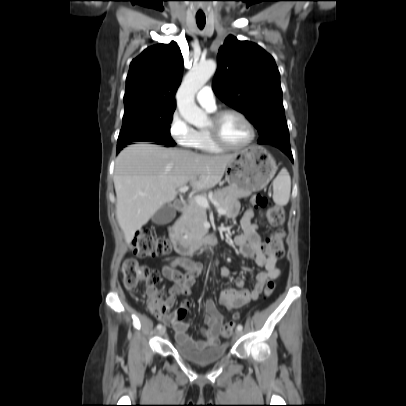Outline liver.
<instances>
[{"mask_svg": "<svg viewBox=\"0 0 406 406\" xmlns=\"http://www.w3.org/2000/svg\"><path fill=\"white\" fill-rule=\"evenodd\" d=\"M236 154L202 155L189 150L137 143L115 160L116 218L125 241L190 182L193 191L217 185Z\"/></svg>", "mask_w": 406, "mask_h": 406, "instance_id": "liver-1", "label": "liver"}]
</instances>
